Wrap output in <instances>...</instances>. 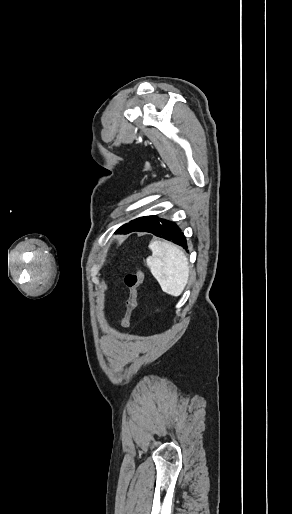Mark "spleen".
<instances>
[{
	"mask_svg": "<svg viewBox=\"0 0 292 514\" xmlns=\"http://www.w3.org/2000/svg\"><path fill=\"white\" fill-rule=\"evenodd\" d=\"M152 256L146 260L152 276L163 292L169 296H180L189 280L188 260L178 248L168 242L153 240L149 246Z\"/></svg>",
	"mask_w": 292,
	"mask_h": 514,
	"instance_id": "1",
	"label": "spleen"
}]
</instances>
